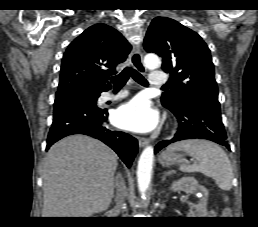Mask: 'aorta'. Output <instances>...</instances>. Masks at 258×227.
I'll return each mask as SVG.
<instances>
[{"mask_svg": "<svg viewBox=\"0 0 258 227\" xmlns=\"http://www.w3.org/2000/svg\"><path fill=\"white\" fill-rule=\"evenodd\" d=\"M144 64L149 69H155L160 65V60L155 54H147L144 58ZM154 158V149L147 146L141 153L137 167L138 188L143 199L146 198V191L150 184L152 165Z\"/></svg>", "mask_w": 258, "mask_h": 227, "instance_id": "762f6f07", "label": "aorta"}]
</instances>
